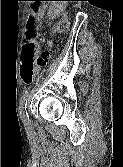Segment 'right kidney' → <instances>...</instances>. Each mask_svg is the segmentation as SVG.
I'll return each instance as SVG.
<instances>
[{
  "label": "right kidney",
  "mask_w": 123,
  "mask_h": 167,
  "mask_svg": "<svg viewBox=\"0 0 123 167\" xmlns=\"http://www.w3.org/2000/svg\"><path fill=\"white\" fill-rule=\"evenodd\" d=\"M66 1H52L48 10V15L56 17L63 12L66 6Z\"/></svg>",
  "instance_id": "ca27d5eb"
}]
</instances>
